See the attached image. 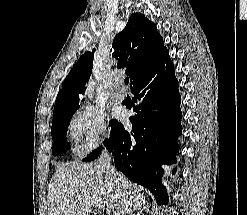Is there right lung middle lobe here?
<instances>
[{
  "instance_id": "right-lung-middle-lobe-1",
  "label": "right lung middle lobe",
  "mask_w": 247,
  "mask_h": 215,
  "mask_svg": "<svg viewBox=\"0 0 247 215\" xmlns=\"http://www.w3.org/2000/svg\"><path fill=\"white\" fill-rule=\"evenodd\" d=\"M78 108V104L64 109L56 114H53V122L51 135L53 138L52 154L58 155L65 152L69 148V144L66 142V133L70 120Z\"/></svg>"
}]
</instances>
